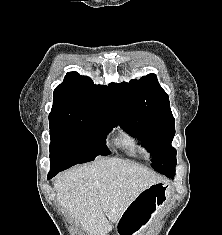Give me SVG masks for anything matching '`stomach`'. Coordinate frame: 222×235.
<instances>
[{"instance_id": "1", "label": "stomach", "mask_w": 222, "mask_h": 235, "mask_svg": "<svg viewBox=\"0 0 222 235\" xmlns=\"http://www.w3.org/2000/svg\"><path fill=\"white\" fill-rule=\"evenodd\" d=\"M171 193L166 182L152 184L140 192L116 224L117 235H142L169 202Z\"/></svg>"}]
</instances>
